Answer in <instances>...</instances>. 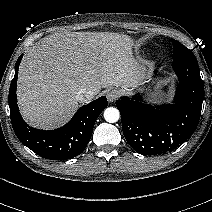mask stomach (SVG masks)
<instances>
[{
	"mask_svg": "<svg viewBox=\"0 0 212 212\" xmlns=\"http://www.w3.org/2000/svg\"><path fill=\"white\" fill-rule=\"evenodd\" d=\"M135 64V69H134V74L136 77V83L134 85V88L137 87L138 85H140L142 83V80L145 77V72L146 69L143 65H141L139 62H137L136 60L134 61ZM164 93L161 92L157 97L156 100H161L163 98Z\"/></svg>",
	"mask_w": 212,
	"mask_h": 212,
	"instance_id": "0dacf381",
	"label": "stomach"
}]
</instances>
